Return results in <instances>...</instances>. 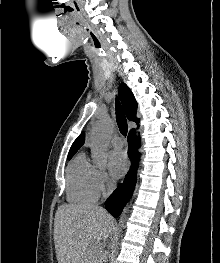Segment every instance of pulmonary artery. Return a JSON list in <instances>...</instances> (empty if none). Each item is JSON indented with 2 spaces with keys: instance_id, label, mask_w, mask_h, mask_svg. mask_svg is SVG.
I'll return each mask as SVG.
<instances>
[{
  "instance_id": "e3ab8cb5",
  "label": "pulmonary artery",
  "mask_w": 220,
  "mask_h": 263,
  "mask_svg": "<svg viewBox=\"0 0 220 263\" xmlns=\"http://www.w3.org/2000/svg\"><path fill=\"white\" fill-rule=\"evenodd\" d=\"M111 144L116 148H120L123 146V140L120 137L115 136L112 138Z\"/></svg>"
}]
</instances>
